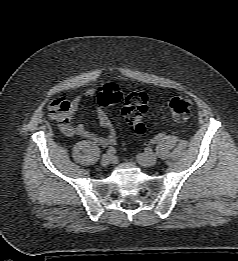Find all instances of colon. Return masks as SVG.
Returning <instances> with one entry per match:
<instances>
[{
  "label": "colon",
  "mask_w": 238,
  "mask_h": 261,
  "mask_svg": "<svg viewBox=\"0 0 238 261\" xmlns=\"http://www.w3.org/2000/svg\"><path fill=\"white\" fill-rule=\"evenodd\" d=\"M97 99L103 108L122 102V114L134 133L142 135L146 132L143 117L147 111L148 96L144 91L135 89L123 94L117 85L107 84L98 90ZM168 107L175 119L185 121L191 113L192 101L187 96L175 95L169 98ZM66 108L65 98H57L50 104L53 115L65 111Z\"/></svg>",
  "instance_id": "5ec220e1"
}]
</instances>
